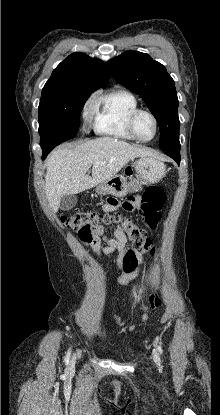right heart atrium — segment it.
I'll return each instance as SVG.
<instances>
[{
    "instance_id": "1",
    "label": "right heart atrium",
    "mask_w": 220,
    "mask_h": 415,
    "mask_svg": "<svg viewBox=\"0 0 220 415\" xmlns=\"http://www.w3.org/2000/svg\"><path fill=\"white\" fill-rule=\"evenodd\" d=\"M85 115H86V116H88V115H89V112L87 111V112L85 113Z\"/></svg>"
}]
</instances>
